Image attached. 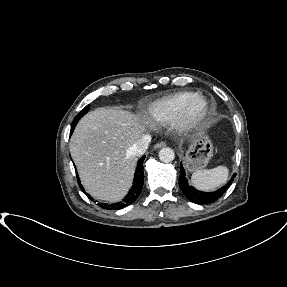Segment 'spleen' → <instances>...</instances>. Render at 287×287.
I'll return each mask as SVG.
<instances>
[{"label": "spleen", "mask_w": 287, "mask_h": 287, "mask_svg": "<svg viewBox=\"0 0 287 287\" xmlns=\"http://www.w3.org/2000/svg\"><path fill=\"white\" fill-rule=\"evenodd\" d=\"M229 175L225 166H217L213 169H204L194 172L191 181L195 188L202 191H211L224 184Z\"/></svg>", "instance_id": "spleen-1"}]
</instances>
